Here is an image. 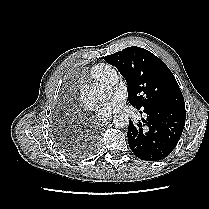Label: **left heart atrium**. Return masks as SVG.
<instances>
[{
	"label": "left heart atrium",
	"instance_id": "1",
	"mask_svg": "<svg viewBox=\"0 0 209 209\" xmlns=\"http://www.w3.org/2000/svg\"><path fill=\"white\" fill-rule=\"evenodd\" d=\"M125 102V96L122 93L114 94L109 100L105 101L97 108L96 115L100 120H106L117 113Z\"/></svg>",
	"mask_w": 209,
	"mask_h": 209
}]
</instances>
